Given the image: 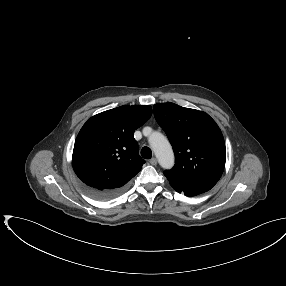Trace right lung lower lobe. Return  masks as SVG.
<instances>
[{
	"label": "right lung lower lobe",
	"instance_id": "98d812e1",
	"mask_svg": "<svg viewBox=\"0 0 286 286\" xmlns=\"http://www.w3.org/2000/svg\"><path fill=\"white\" fill-rule=\"evenodd\" d=\"M85 189L91 196L100 200H107L113 198L122 192L121 190H97L87 186L85 187Z\"/></svg>",
	"mask_w": 286,
	"mask_h": 286
}]
</instances>
